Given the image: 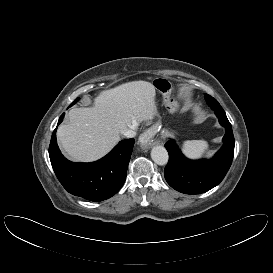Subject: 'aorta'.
Instances as JSON below:
<instances>
[{"label":"aorta","instance_id":"1","mask_svg":"<svg viewBox=\"0 0 273 273\" xmlns=\"http://www.w3.org/2000/svg\"><path fill=\"white\" fill-rule=\"evenodd\" d=\"M151 158L158 165H166L169 159L168 152L161 145L154 146L151 150Z\"/></svg>","mask_w":273,"mask_h":273}]
</instances>
